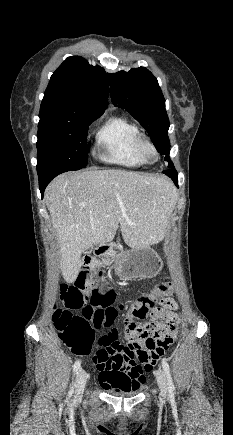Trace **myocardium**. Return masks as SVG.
I'll return each mask as SVG.
<instances>
[{"mask_svg": "<svg viewBox=\"0 0 233 435\" xmlns=\"http://www.w3.org/2000/svg\"><path fill=\"white\" fill-rule=\"evenodd\" d=\"M139 147L142 157L148 163H155L159 159V151L156 145L147 137L140 136ZM151 155L153 157H151Z\"/></svg>", "mask_w": 233, "mask_h": 435, "instance_id": "obj_1", "label": "myocardium"}]
</instances>
